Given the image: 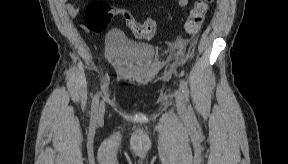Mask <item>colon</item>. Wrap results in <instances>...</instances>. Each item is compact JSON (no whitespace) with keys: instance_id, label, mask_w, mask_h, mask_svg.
<instances>
[{"instance_id":"obj_1","label":"colon","mask_w":288,"mask_h":164,"mask_svg":"<svg viewBox=\"0 0 288 164\" xmlns=\"http://www.w3.org/2000/svg\"><path fill=\"white\" fill-rule=\"evenodd\" d=\"M208 5L209 0H198L189 11L185 21V29L189 35L195 36L199 31ZM119 12L106 0H93L86 10L84 25L91 31L102 32L108 27L115 14ZM126 26L138 38L149 40L153 37L157 23L154 19H148L141 23L133 16L127 15Z\"/></svg>"}]
</instances>
